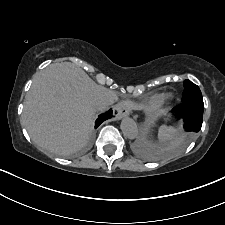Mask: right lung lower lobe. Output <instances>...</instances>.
Here are the masks:
<instances>
[{
    "mask_svg": "<svg viewBox=\"0 0 225 225\" xmlns=\"http://www.w3.org/2000/svg\"><path fill=\"white\" fill-rule=\"evenodd\" d=\"M110 113H111V110H109L106 114L104 115H100L99 118L96 120V125L95 127L97 128L104 120L110 118Z\"/></svg>",
    "mask_w": 225,
    "mask_h": 225,
    "instance_id": "right-lung-lower-lobe-1",
    "label": "right lung lower lobe"
}]
</instances>
